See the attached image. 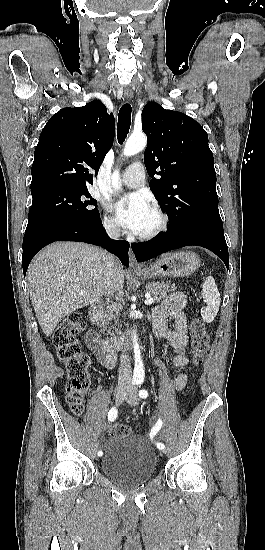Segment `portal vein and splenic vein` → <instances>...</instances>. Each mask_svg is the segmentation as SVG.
I'll list each match as a JSON object with an SVG mask.
<instances>
[{"label": "portal vein and splenic vein", "instance_id": "portal-vein-and-splenic-vein-1", "mask_svg": "<svg viewBox=\"0 0 265 550\" xmlns=\"http://www.w3.org/2000/svg\"><path fill=\"white\" fill-rule=\"evenodd\" d=\"M84 292L81 291V294H83ZM154 302L153 298L150 297V296H146V300H145V304L146 305H151L152 303Z\"/></svg>", "mask_w": 265, "mask_h": 550}]
</instances>
